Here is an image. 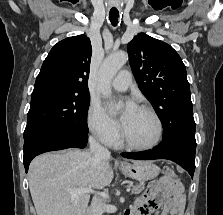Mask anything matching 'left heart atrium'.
<instances>
[{
    "label": "left heart atrium",
    "instance_id": "1",
    "mask_svg": "<svg viewBox=\"0 0 223 215\" xmlns=\"http://www.w3.org/2000/svg\"><path fill=\"white\" fill-rule=\"evenodd\" d=\"M136 108L137 107L133 101L130 100L127 102L125 110L120 118L121 124H123L129 118V116L136 110Z\"/></svg>",
    "mask_w": 223,
    "mask_h": 215
}]
</instances>
